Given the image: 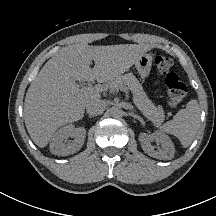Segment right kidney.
Masks as SVG:
<instances>
[{"mask_svg":"<svg viewBox=\"0 0 216 216\" xmlns=\"http://www.w3.org/2000/svg\"><path fill=\"white\" fill-rule=\"evenodd\" d=\"M71 137L73 141H67ZM86 137V130L83 127H74L69 124L60 128L54 133L50 140V151L54 155L67 156L81 149Z\"/></svg>","mask_w":216,"mask_h":216,"instance_id":"right-kidney-1","label":"right kidney"}]
</instances>
